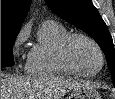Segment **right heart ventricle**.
<instances>
[{
  "label": "right heart ventricle",
  "mask_w": 115,
  "mask_h": 99,
  "mask_svg": "<svg viewBox=\"0 0 115 99\" xmlns=\"http://www.w3.org/2000/svg\"><path fill=\"white\" fill-rule=\"evenodd\" d=\"M69 34L61 23L45 21L39 29L37 43L28 53L26 71L38 76L73 74L60 58L61 43Z\"/></svg>",
  "instance_id": "e07e8e85"
}]
</instances>
